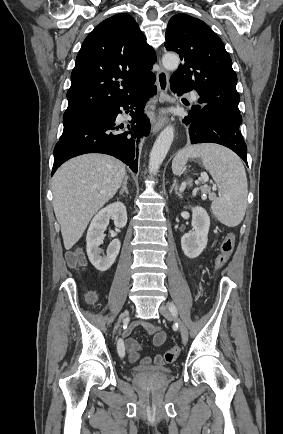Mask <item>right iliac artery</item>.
<instances>
[{
	"mask_svg": "<svg viewBox=\"0 0 283 434\" xmlns=\"http://www.w3.org/2000/svg\"><path fill=\"white\" fill-rule=\"evenodd\" d=\"M121 344L122 343H121V339H120V340H118V343H117V350H118L119 356L123 357L124 356V352H121V350H120Z\"/></svg>",
	"mask_w": 283,
	"mask_h": 434,
	"instance_id": "1",
	"label": "right iliac artery"
}]
</instances>
